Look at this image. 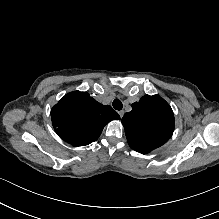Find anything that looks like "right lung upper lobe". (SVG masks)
Listing matches in <instances>:
<instances>
[{
  "label": "right lung upper lobe",
  "instance_id": "cb5924a9",
  "mask_svg": "<svg viewBox=\"0 0 219 219\" xmlns=\"http://www.w3.org/2000/svg\"><path fill=\"white\" fill-rule=\"evenodd\" d=\"M56 133L74 146L88 145L100 136L104 126L120 116L109 105H102L86 92L66 94L51 110Z\"/></svg>",
  "mask_w": 219,
  "mask_h": 219
}]
</instances>
